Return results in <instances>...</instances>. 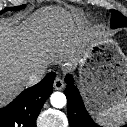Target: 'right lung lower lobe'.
I'll use <instances>...</instances> for the list:
<instances>
[{
  "mask_svg": "<svg viewBox=\"0 0 127 127\" xmlns=\"http://www.w3.org/2000/svg\"><path fill=\"white\" fill-rule=\"evenodd\" d=\"M55 73L24 90L13 102L0 109V127H36L39 112L53 90Z\"/></svg>",
  "mask_w": 127,
  "mask_h": 127,
  "instance_id": "obj_1",
  "label": "right lung lower lobe"
}]
</instances>
